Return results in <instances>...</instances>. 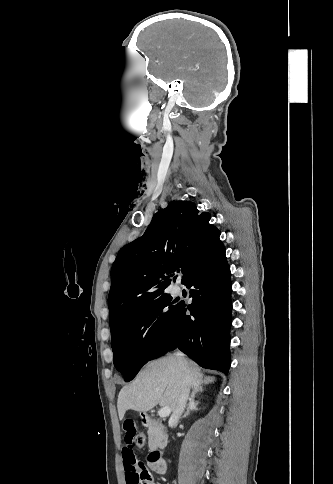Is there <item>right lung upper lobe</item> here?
Instances as JSON below:
<instances>
[{
  "instance_id": "obj_1",
  "label": "right lung upper lobe",
  "mask_w": 333,
  "mask_h": 484,
  "mask_svg": "<svg viewBox=\"0 0 333 484\" xmlns=\"http://www.w3.org/2000/svg\"><path fill=\"white\" fill-rule=\"evenodd\" d=\"M210 218L192 202L171 201L140 238L119 251L111 269L110 329L138 307L166 295L177 269L186 284L209 262L223 245Z\"/></svg>"
}]
</instances>
